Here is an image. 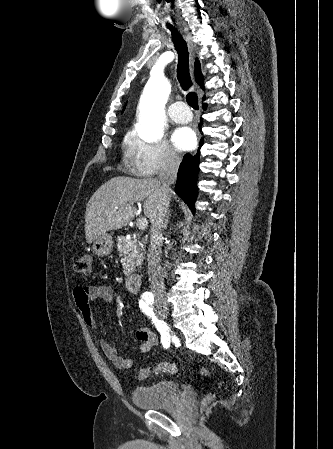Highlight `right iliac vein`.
Masks as SVG:
<instances>
[{"label":"right iliac vein","mask_w":333,"mask_h":449,"mask_svg":"<svg viewBox=\"0 0 333 449\" xmlns=\"http://www.w3.org/2000/svg\"><path fill=\"white\" fill-rule=\"evenodd\" d=\"M163 310L166 311V310H167V307H166V306H163Z\"/></svg>","instance_id":"1"}]
</instances>
